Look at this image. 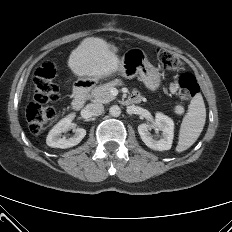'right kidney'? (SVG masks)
Listing matches in <instances>:
<instances>
[{
	"instance_id": "right-kidney-1",
	"label": "right kidney",
	"mask_w": 232,
	"mask_h": 232,
	"mask_svg": "<svg viewBox=\"0 0 232 232\" xmlns=\"http://www.w3.org/2000/svg\"><path fill=\"white\" fill-rule=\"evenodd\" d=\"M73 118V114L68 115L50 130L46 139L48 146L52 148L65 149L73 147L81 142L86 135V130L81 127H77L76 124L72 123ZM71 128L74 131V135L72 137H61L62 133H66Z\"/></svg>"
}]
</instances>
